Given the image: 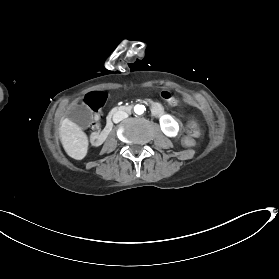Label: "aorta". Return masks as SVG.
Returning <instances> with one entry per match:
<instances>
[{"label":"aorta","mask_w":279,"mask_h":279,"mask_svg":"<svg viewBox=\"0 0 279 279\" xmlns=\"http://www.w3.org/2000/svg\"><path fill=\"white\" fill-rule=\"evenodd\" d=\"M145 110V107L143 105H136L134 107V112L138 115L142 114Z\"/></svg>","instance_id":"aorta-1"}]
</instances>
